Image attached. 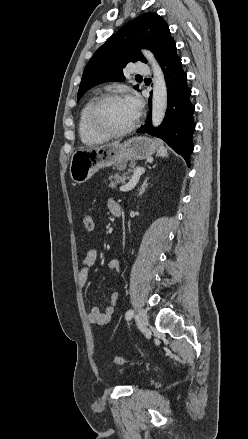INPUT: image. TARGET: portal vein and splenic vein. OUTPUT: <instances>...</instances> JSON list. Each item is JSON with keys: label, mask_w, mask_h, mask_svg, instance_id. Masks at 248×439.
<instances>
[{"label": "portal vein and splenic vein", "mask_w": 248, "mask_h": 439, "mask_svg": "<svg viewBox=\"0 0 248 439\" xmlns=\"http://www.w3.org/2000/svg\"><path fill=\"white\" fill-rule=\"evenodd\" d=\"M144 172H145L144 168H137V169L135 170V173H134V175L132 176L131 180H130L126 185L120 187V191H122V192H126V191H129V190L133 189V188L136 186V184H137V182H138L140 176H141Z\"/></svg>", "instance_id": "1"}]
</instances>
